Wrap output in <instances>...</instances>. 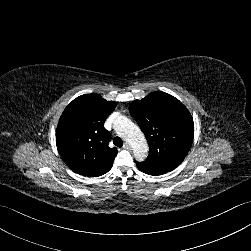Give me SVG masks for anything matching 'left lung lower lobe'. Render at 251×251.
<instances>
[{
	"label": "left lung lower lobe",
	"mask_w": 251,
	"mask_h": 251,
	"mask_svg": "<svg viewBox=\"0 0 251 251\" xmlns=\"http://www.w3.org/2000/svg\"><path fill=\"white\" fill-rule=\"evenodd\" d=\"M135 162L140 171L149 175H161L175 169L173 166L158 164L147 160L144 162Z\"/></svg>",
	"instance_id": "1"
}]
</instances>
